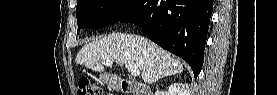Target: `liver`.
I'll return each mask as SVG.
<instances>
[{
  "label": "liver",
  "mask_w": 277,
  "mask_h": 95,
  "mask_svg": "<svg viewBox=\"0 0 277 95\" xmlns=\"http://www.w3.org/2000/svg\"><path fill=\"white\" fill-rule=\"evenodd\" d=\"M133 64L145 83L153 84L161 78L181 73L179 59L151 42L133 34L114 33L85 44L76 56V63L97 72L104 71V63Z\"/></svg>",
  "instance_id": "obj_1"
}]
</instances>
